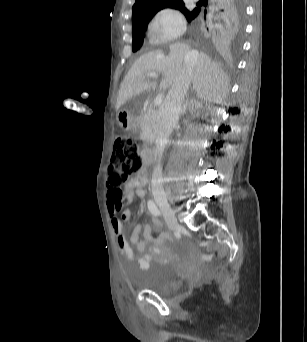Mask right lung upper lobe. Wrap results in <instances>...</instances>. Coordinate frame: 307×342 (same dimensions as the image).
Wrapping results in <instances>:
<instances>
[{"label": "right lung upper lobe", "mask_w": 307, "mask_h": 342, "mask_svg": "<svg viewBox=\"0 0 307 342\" xmlns=\"http://www.w3.org/2000/svg\"><path fill=\"white\" fill-rule=\"evenodd\" d=\"M238 0H201L200 7L188 10L183 0H136L132 7V35L143 33L159 10L170 7L181 10L208 40L220 42L228 35L240 10ZM207 6V8H206Z\"/></svg>", "instance_id": "right-lung-upper-lobe-1"}]
</instances>
